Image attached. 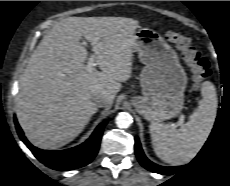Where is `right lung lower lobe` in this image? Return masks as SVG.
<instances>
[{"label": "right lung lower lobe", "instance_id": "obj_1", "mask_svg": "<svg viewBox=\"0 0 230 186\" xmlns=\"http://www.w3.org/2000/svg\"><path fill=\"white\" fill-rule=\"evenodd\" d=\"M15 125L21 140L40 162L54 170L65 171L83 167L93 160L99 149L105 123L99 125L86 142L63 151H47L34 147L25 138L16 119Z\"/></svg>", "mask_w": 230, "mask_h": 186}]
</instances>
